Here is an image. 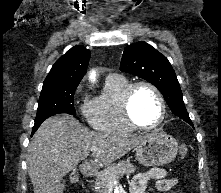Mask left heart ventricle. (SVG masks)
<instances>
[{"label":"left heart ventricle","mask_w":221,"mask_h":193,"mask_svg":"<svg viewBox=\"0 0 221 193\" xmlns=\"http://www.w3.org/2000/svg\"><path fill=\"white\" fill-rule=\"evenodd\" d=\"M131 111L136 122L150 126L159 119L161 107L156 94L150 88L143 86L137 88L133 95Z\"/></svg>","instance_id":"b2bd125f"}]
</instances>
